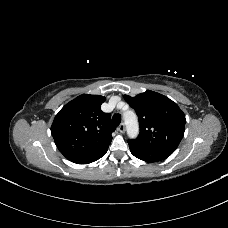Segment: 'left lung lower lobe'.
Segmentation results:
<instances>
[{
	"label": "left lung lower lobe",
	"instance_id": "1",
	"mask_svg": "<svg viewBox=\"0 0 228 228\" xmlns=\"http://www.w3.org/2000/svg\"><path fill=\"white\" fill-rule=\"evenodd\" d=\"M131 153L146 162H158L168 158L171 153L159 150L142 149L129 144Z\"/></svg>",
	"mask_w": 228,
	"mask_h": 228
}]
</instances>
